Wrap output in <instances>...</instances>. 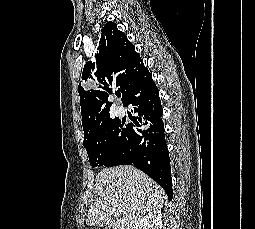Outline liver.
I'll return each mask as SVG.
<instances>
[{
  "instance_id": "obj_1",
  "label": "liver",
  "mask_w": 255,
  "mask_h": 229,
  "mask_svg": "<svg viewBox=\"0 0 255 229\" xmlns=\"http://www.w3.org/2000/svg\"><path fill=\"white\" fill-rule=\"evenodd\" d=\"M95 190L86 218L88 226L135 229L142 215L161 209L166 199L156 182L127 165L103 169L95 179Z\"/></svg>"
}]
</instances>
